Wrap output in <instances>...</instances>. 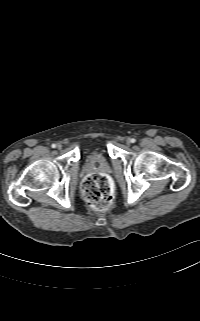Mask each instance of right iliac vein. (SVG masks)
I'll use <instances>...</instances> for the list:
<instances>
[{
	"label": "right iliac vein",
	"mask_w": 200,
	"mask_h": 321,
	"mask_svg": "<svg viewBox=\"0 0 200 321\" xmlns=\"http://www.w3.org/2000/svg\"><path fill=\"white\" fill-rule=\"evenodd\" d=\"M58 149H61L62 148V145L60 143L57 144L56 146Z\"/></svg>",
	"instance_id": "63e3f726"
}]
</instances>
